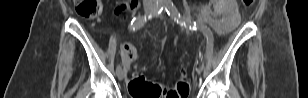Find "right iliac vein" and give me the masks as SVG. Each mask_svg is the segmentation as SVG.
I'll return each mask as SVG.
<instances>
[{
	"mask_svg": "<svg viewBox=\"0 0 308 98\" xmlns=\"http://www.w3.org/2000/svg\"><path fill=\"white\" fill-rule=\"evenodd\" d=\"M154 9L153 6H145L144 7V11L146 14H149L150 12H152ZM125 75H126V71L124 69L121 68V70L117 73V76H118V79L121 81L125 78Z\"/></svg>",
	"mask_w": 308,
	"mask_h": 98,
	"instance_id": "63e3f726",
	"label": "right iliac vein"
}]
</instances>
